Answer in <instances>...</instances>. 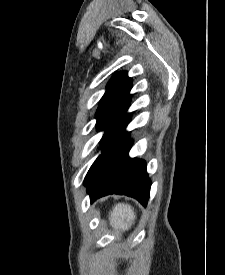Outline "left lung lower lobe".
Returning <instances> with one entry per match:
<instances>
[{"label":"left lung lower lobe","instance_id":"1","mask_svg":"<svg viewBox=\"0 0 225 275\" xmlns=\"http://www.w3.org/2000/svg\"><path fill=\"white\" fill-rule=\"evenodd\" d=\"M132 143L127 133L97 161L91 175L84 181L91 202L105 195L120 194L147 205L151 181L146 172V162L128 156Z\"/></svg>","mask_w":225,"mask_h":275}]
</instances>
